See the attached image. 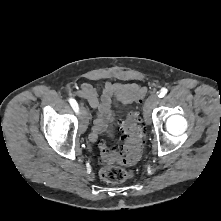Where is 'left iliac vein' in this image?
Instances as JSON below:
<instances>
[{
  "label": "left iliac vein",
  "instance_id": "4c4485c4",
  "mask_svg": "<svg viewBox=\"0 0 221 221\" xmlns=\"http://www.w3.org/2000/svg\"><path fill=\"white\" fill-rule=\"evenodd\" d=\"M159 102V96L156 93L151 94L144 105V118L145 122L149 125L151 124V112L152 109L158 104Z\"/></svg>",
  "mask_w": 221,
  "mask_h": 221
}]
</instances>
